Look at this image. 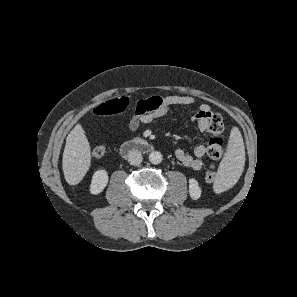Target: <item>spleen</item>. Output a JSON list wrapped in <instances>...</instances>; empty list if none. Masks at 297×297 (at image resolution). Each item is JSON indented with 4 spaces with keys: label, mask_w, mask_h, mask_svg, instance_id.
<instances>
[{
    "label": "spleen",
    "mask_w": 297,
    "mask_h": 297,
    "mask_svg": "<svg viewBox=\"0 0 297 297\" xmlns=\"http://www.w3.org/2000/svg\"><path fill=\"white\" fill-rule=\"evenodd\" d=\"M245 164V148L242 135L237 127L230 133L226 154L222 159L218 171L219 183L223 187H231L242 174Z\"/></svg>",
    "instance_id": "spleen-1"
}]
</instances>
